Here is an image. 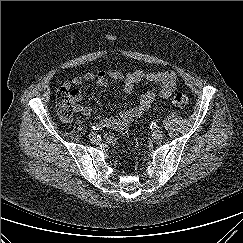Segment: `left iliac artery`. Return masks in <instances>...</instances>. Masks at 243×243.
<instances>
[{"label": "left iliac artery", "instance_id": "44dca946", "mask_svg": "<svg viewBox=\"0 0 243 243\" xmlns=\"http://www.w3.org/2000/svg\"><path fill=\"white\" fill-rule=\"evenodd\" d=\"M156 127H157V124H156V123H151V124H150V128H151V129H154V128H156Z\"/></svg>", "mask_w": 243, "mask_h": 243}]
</instances>
